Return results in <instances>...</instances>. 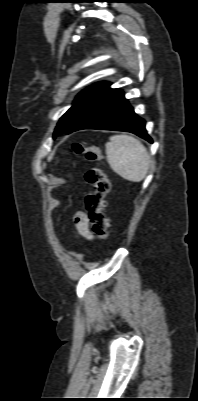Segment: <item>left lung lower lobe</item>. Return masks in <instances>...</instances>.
I'll return each mask as SVG.
<instances>
[{"label": "left lung lower lobe", "mask_w": 198, "mask_h": 401, "mask_svg": "<svg viewBox=\"0 0 198 401\" xmlns=\"http://www.w3.org/2000/svg\"><path fill=\"white\" fill-rule=\"evenodd\" d=\"M81 129H106L132 132L152 142L145 129V121L138 117L123 92L109 84L85 108L67 133Z\"/></svg>", "instance_id": "obj_1"}]
</instances>
